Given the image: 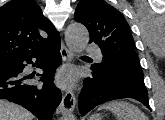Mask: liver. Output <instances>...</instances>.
Wrapping results in <instances>:
<instances>
[{"mask_svg":"<svg viewBox=\"0 0 165 120\" xmlns=\"http://www.w3.org/2000/svg\"><path fill=\"white\" fill-rule=\"evenodd\" d=\"M0 120H33V115L20 105L0 100Z\"/></svg>","mask_w":165,"mask_h":120,"instance_id":"liver-1","label":"liver"}]
</instances>
